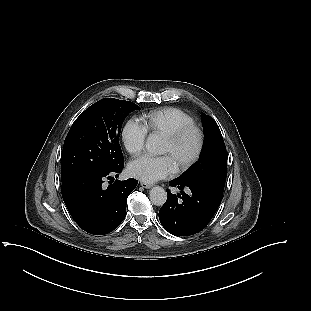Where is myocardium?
I'll use <instances>...</instances> for the list:
<instances>
[{
  "instance_id": "obj_1",
  "label": "myocardium",
  "mask_w": 311,
  "mask_h": 311,
  "mask_svg": "<svg viewBox=\"0 0 311 311\" xmlns=\"http://www.w3.org/2000/svg\"><path fill=\"white\" fill-rule=\"evenodd\" d=\"M193 134L195 137V145L192 152L178 164H176L177 170H184L191 166L200 156L203 147V132L196 124H188L181 126L173 132L163 136V139L171 146L177 145L186 135Z\"/></svg>"
}]
</instances>
